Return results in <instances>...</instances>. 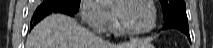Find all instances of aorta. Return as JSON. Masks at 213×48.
<instances>
[{
  "mask_svg": "<svg viewBox=\"0 0 213 48\" xmlns=\"http://www.w3.org/2000/svg\"><path fill=\"white\" fill-rule=\"evenodd\" d=\"M102 5L112 4L114 0H99Z\"/></svg>",
  "mask_w": 213,
  "mask_h": 48,
  "instance_id": "obj_1",
  "label": "aorta"
}]
</instances>
